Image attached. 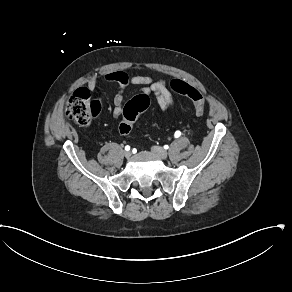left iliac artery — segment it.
Segmentation results:
<instances>
[{
    "mask_svg": "<svg viewBox=\"0 0 292 292\" xmlns=\"http://www.w3.org/2000/svg\"><path fill=\"white\" fill-rule=\"evenodd\" d=\"M181 136V132L180 131H176L175 134H174V137L175 138H178Z\"/></svg>",
    "mask_w": 292,
    "mask_h": 292,
    "instance_id": "44dca946",
    "label": "left iliac artery"
}]
</instances>
